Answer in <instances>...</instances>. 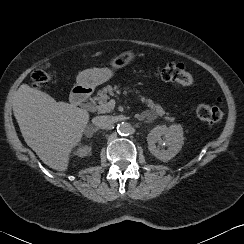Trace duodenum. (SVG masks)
I'll list each match as a JSON object with an SVG mask.
<instances>
[{
  "label": "duodenum",
  "instance_id": "duodenum-1",
  "mask_svg": "<svg viewBox=\"0 0 244 244\" xmlns=\"http://www.w3.org/2000/svg\"><path fill=\"white\" fill-rule=\"evenodd\" d=\"M92 93V89L88 86L78 85L74 87L70 96V103L74 106H79L86 103Z\"/></svg>",
  "mask_w": 244,
  "mask_h": 244
}]
</instances>
